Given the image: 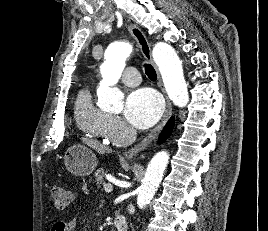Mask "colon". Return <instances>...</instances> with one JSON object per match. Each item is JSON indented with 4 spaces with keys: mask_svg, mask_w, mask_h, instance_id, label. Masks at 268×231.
I'll use <instances>...</instances> for the list:
<instances>
[{
    "mask_svg": "<svg viewBox=\"0 0 268 231\" xmlns=\"http://www.w3.org/2000/svg\"><path fill=\"white\" fill-rule=\"evenodd\" d=\"M52 197L56 206L60 209H65L70 203V194L68 191L61 187L52 188Z\"/></svg>",
    "mask_w": 268,
    "mask_h": 231,
    "instance_id": "obj_1",
    "label": "colon"
}]
</instances>
